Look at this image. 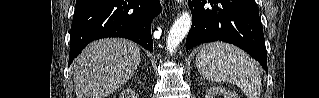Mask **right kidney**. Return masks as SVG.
<instances>
[{
  "instance_id": "1",
  "label": "right kidney",
  "mask_w": 319,
  "mask_h": 98,
  "mask_svg": "<svg viewBox=\"0 0 319 98\" xmlns=\"http://www.w3.org/2000/svg\"><path fill=\"white\" fill-rule=\"evenodd\" d=\"M128 93H129V94H124V95H125V96H126V95H130V96H132L133 98L136 97V96H135V92H133V90H130Z\"/></svg>"
}]
</instances>
